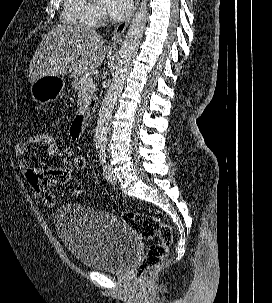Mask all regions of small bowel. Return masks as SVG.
I'll use <instances>...</instances> for the list:
<instances>
[{
	"instance_id": "1",
	"label": "small bowel",
	"mask_w": 272,
	"mask_h": 303,
	"mask_svg": "<svg viewBox=\"0 0 272 303\" xmlns=\"http://www.w3.org/2000/svg\"><path fill=\"white\" fill-rule=\"evenodd\" d=\"M73 138H76L77 135L72 130ZM39 146L37 135L29 136L25 141L17 143L15 147V154L17 157L21 158L28 152L29 147ZM47 154L50 157H57L59 155V149L46 150ZM20 168L26 173L30 170L27 165L19 160ZM36 177L37 183L41 190L47 191L51 187L61 186L66 184L71 177V171L69 168L60 166V167H50L43 170H33Z\"/></svg>"
}]
</instances>
